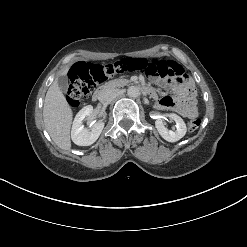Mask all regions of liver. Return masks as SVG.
<instances>
[{
  "label": "liver",
  "instance_id": "1",
  "mask_svg": "<svg viewBox=\"0 0 247 247\" xmlns=\"http://www.w3.org/2000/svg\"><path fill=\"white\" fill-rule=\"evenodd\" d=\"M66 68L61 75H66ZM45 127L54 143L63 150L71 149L70 128L73 113L55 80L49 87L43 107Z\"/></svg>",
  "mask_w": 247,
  "mask_h": 247
}]
</instances>
